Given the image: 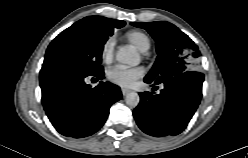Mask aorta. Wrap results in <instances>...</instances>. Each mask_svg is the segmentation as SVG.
Masks as SVG:
<instances>
[{
  "label": "aorta",
  "mask_w": 248,
  "mask_h": 158,
  "mask_svg": "<svg viewBox=\"0 0 248 158\" xmlns=\"http://www.w3.org/2000/svg\"><path fill=\"white\" fill-rule=\"evenodd\" d=\"M116 59L121 64L130 65V66H136L140 62L139 55L127 48V47H121L116 53ZM126 104L130 107H136L139 104L140 97L136 92H130L126 95L125 98Z\"/></svg>",
  "instance_id": "762f6f07"
}]
</instances>
